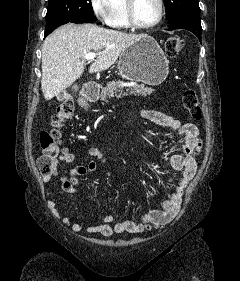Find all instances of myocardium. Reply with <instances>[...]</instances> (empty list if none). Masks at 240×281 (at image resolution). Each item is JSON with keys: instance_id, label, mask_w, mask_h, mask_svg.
I'll use <instances>...</instances> for the list:
<instances>
[{"instance_id": "myocardium-1", "label": "myocardium", "mask_w": 240, "mask_h": 281, "mask_svg": "<svg viewBox=\"0 0 240 281\" xmlns=\"http://www.w3.org/2000/svg\"><path fill=\"white\" fill-rule=\"evenodd\" d=\"M157 2L159 5V12L156 20L150 24H141L136 19V14H135L136 0H126L127 18H128L129 25L135 29H141V30L151 29L158 26L164 17L165 3L164 0H157Z\"/></svg>"}]
</instances>
